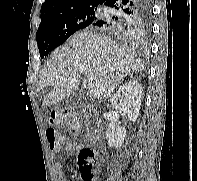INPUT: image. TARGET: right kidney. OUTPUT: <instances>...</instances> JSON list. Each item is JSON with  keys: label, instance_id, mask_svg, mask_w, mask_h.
<instances>
[{"label": "right kidney", "instance_id": "1", "mask_svg": "<svg viewBox=\"0 0 197 181\" xmlns=\"http://www.w3.org/2000/svg\"><path fill=\"white\" fill-rule=\"evenodd\" d=\"M142 96V85L136 80L128 81L113 96L111 105L115 110L125 113L130 121L135 122L139 116ZM106 137L109 146L118 149L124 142L126 130L117 122L111 121L106 130Z\"/></svg>", "mask_w": 197, "mask_h": 181}]
</instances>
